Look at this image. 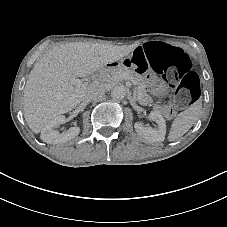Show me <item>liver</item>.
<instances>
[{
	"mask_svg": "<svg viewBox=\"0 0 227 227\" xmlns=\"http://www.w3.org/2000/svg\"><path fill=\"white\" fill-rule=\"evenodd\" d=\"M134 45L71 42L49 49L35 62L23 90L24 118L35 134L53 118L76 108L89 86L78 78L92 75L134 51ZM98 82V81H97ZM100 87L106 88L99 82Z\"/></svg>",
	"mask_w": 227,
	"mask_h": 227,
	"instance_id": "1",
	"label": "liver"
}]
</instances>
